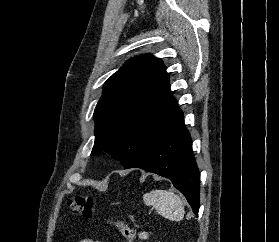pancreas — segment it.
I'll return each instance as SVG.
<instances>
[{
    "instance_id": "cf45deb5",
    "label": "pancreas",
    "mask_w": 279,
    "mask_h": 242,
    "mask_svg": "<svg viewBox=\"0 0 279 242\" xmlns=\"http://www.w3.org/2000/svg\"><path fill=\"white\" fill-rule=\"evenodd\" d=\"M147 237H148V233L143 232L139 234L140 239H146Z\"/></svg>"
}]
</instances>
